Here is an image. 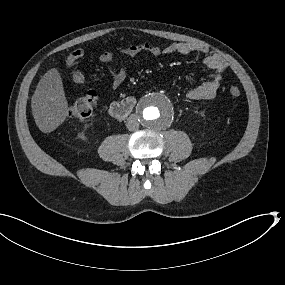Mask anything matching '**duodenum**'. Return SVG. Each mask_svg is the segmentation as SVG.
<instances>
[{
  "instance_id": "410a0bca",
  "label": "duodenum",
  "mask_w": 285,
  "mask_h": 285,
  "mask_svg": "<svg viewBox=\"0 0 285 285\" xmlns=\"http://www.w3.org/2000/svg\"><path fill=\"white\" fill-rule=\"evenodd\" d=\"M135 99L127 97L121 101L113 102L109 107V114L116 119L128 117L134 109Z\"/></svg>"
}]
</instances>
